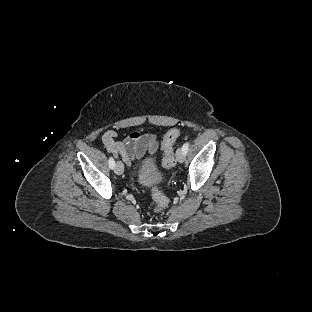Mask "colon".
Instances as JSON below:
<instances>
[{
    "mask_svg": "<svg viewBox=\"0 0 312 312\" xmlns=\"http://www.w3.org/2000/svg\"><path fill=\"white\" fill-rule=\"evenodd\" d=\"M180 136V131L177 128L169 129L162 140L161 149L163 151V157L161 160V165L164 169L169 170L176 165L175 155H174V145ZM153 200L155 201L158 208H164L168 203V198L166 195L157 189L152 192Z\"/></svg>",
    "mask_w": 312,
    "mask_h": 312,
    "instance_id": "5ec220e1",
    "label": "colon"
}]
</instances>
